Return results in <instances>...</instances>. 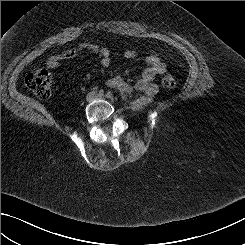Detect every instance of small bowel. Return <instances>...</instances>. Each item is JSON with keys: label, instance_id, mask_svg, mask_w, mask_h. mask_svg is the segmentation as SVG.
<instances>
[{"label": "small bowel", "instance_id": "c3829d8e", "mask_svg": "<svg viewBox=\"0 0 245 245\" xmlns=\"http://www.w3.org/2000/svg\"><path fill=\"white\" fill-rule=\"evenodd\" d=\"M84 51H89L96 55L102 66L108 67L111 64V54L106 48L100 47L92 42H83L77 47L65 52H61L51 56L47 65L50 68H56L63 62L70 61L79 57ZM137 52L134 50H127L123 57L127 60H132L137 57ZM146 67L141 74V78L135 82H128L120 76H115L107 80L106 85L121 93L142 92L147 96H154L158 92V86L153 80L163 74L166 70L165 64L156 55H149L145 58ZM69 76L72 77L71 74Z\"/></svg>", "mask_w": 245, "mask_h": 245}]
</instances>
